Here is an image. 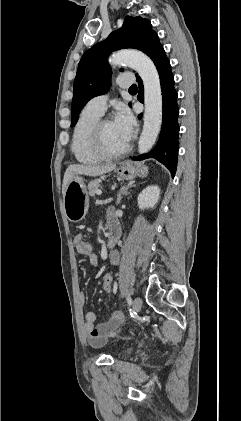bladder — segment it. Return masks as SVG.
Returning <instances> with one entry per match:
<instances>
[{
  "instance_id": "bladder-1",
  "label": "bladder",
  "mask_w": 241,
  "mask_h": 421,
  "mask_svg": "<svg viewBox=\"0 0 241 421\" xmlns=\"http://www.w3.org/2000/svg\"><path fill=\"white\" fill-rule=\"evenodd\" d=\"M131 351H132V348H131V347H129V348H126L125 350H123V351H122V354H123V355H127V354H129Z\"/></svg>"
}]
</instances>
